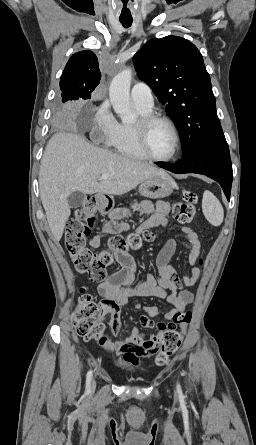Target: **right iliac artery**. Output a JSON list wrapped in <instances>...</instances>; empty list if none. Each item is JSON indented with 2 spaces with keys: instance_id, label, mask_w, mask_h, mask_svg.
<instances>
[{
  "instance_id": "obj_1",
  "label": "right iliac artery",
  "mask_w": 256,
  "mask_h": 445,
  "mask_svg": "<svg viewBox=\"0 0 256 445\" xmlns=\"http://www.w3.org/2000/svg\"><path fill=\"white\" fill-rule=\"evenodd\" d=\"M92 376H93V373H92V371L90 370V371L87 373V376H86V393H89V392H90V386H91Z\"/></svg>"
}]
</instances>
